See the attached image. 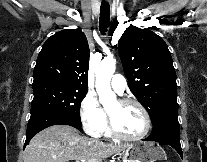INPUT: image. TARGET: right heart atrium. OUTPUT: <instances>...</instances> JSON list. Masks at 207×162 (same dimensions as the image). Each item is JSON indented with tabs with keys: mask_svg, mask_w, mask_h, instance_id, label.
I'll use <instances>...</instances> for the list:
<instances>
[{
	"mask_svg": "<svg viewBox=\"0 0 207 162\" xmlns=\"http://www.w3.org/2000/svg\"><path fill=\"white\" fill-rule=\"evenodd\" d=\"M79 117L85 131L95 137L103 134L107 126L106 113L96 95L89 91L81 101Z\"/></svg>",
	"mask_w": 207,
	"mask_h": 162,
	"instance_id": "right-heart-atrium-1",
	"label": "right heart atrium"
}]
</instances>
